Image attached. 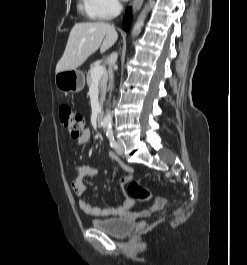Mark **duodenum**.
Returning a JSON list of instances; mask_svg holds the SVG:
<instances>
[{
	"label": "duodenum",
	"mask_w": 247,
	"mask_h": 265,
	"mask_svg": "<svg viewBox=\"0 0 247 265\" xmlns=\"http://www.w3.org/2000/svg\"><path fill=\"white\" fill-rule=\"evenodd\" d=\"M96 122H97V125H98L99 127L103 126V114H102V113H100V114L97 116Z\"/></svg>",
	"instance_id": "obj_1"
}]
</instances>
